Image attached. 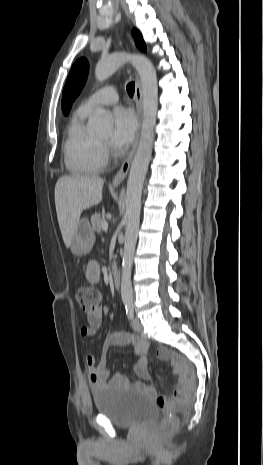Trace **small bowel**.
<instances>
[{
    "label": "small bowel",
    "instance_id": "c3829d8e",
    "mask_svg": "<svg viewBox=\"0 0 263 465\" xmlns=\"http://www.w3.org/2000/svg\"><path fill=\"white\" fill-rule=\"evenodd\" d=\"M101 270L97 261H89L86 267V278L90 283H97L100 279ZM88 325L81 329V336L84 338H91L95 336L97 330L101 327L103 322V311L101 307L91 313L87 314ZM128 343L134 345L135 353L138 355V360L134 366V371L142 379L148 378L147 372V353L149 345L144 339L137 337L130 333L113 334L106 337L101 347L100 361L97 363L92 355H87L85 363L88 368L90 380L95 388H102L106 385L114 387H127L135 385L143 388L149 393L156 395V390L152 385L143 383H132L126 377L116 374L108 381L107 370V354L110 348L121 346Z\"/></svg>",
    "mask_w": 263,
    "mask_h": 465
}]
</instances>
